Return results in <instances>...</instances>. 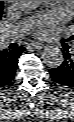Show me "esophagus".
Returning <instances> with one entry per match:
<instances>
[{
  "instance_id": "obj_1",
  "label": "esophagus",
  "mask_w": 74,
  "mask_h": 122,
  "mask_svg": "<svg viewBox=\"0 0 74 122\" xmlns=\"http://www.w3.org/2000/svg\"><path fill=\"white\" fill-rule=\"evenodd\" d=\"M29 47H32V48L37 49V50H40V49L45 48V45H44L43 43L35 42V43H31V44L28 46V48H29Z\"/></svg>"
}]
</instances>
